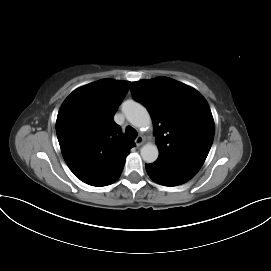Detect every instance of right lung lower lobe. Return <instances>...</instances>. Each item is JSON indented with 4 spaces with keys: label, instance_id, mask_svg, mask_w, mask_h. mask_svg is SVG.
Returning a JSON list of instances; mask_svg holds the SVG:
<instances>
[{
    "label": "right lung lower lobe",
    "instance_id": "right-lung-lower-lobe-1",
    "mask_svg": "<svg viewBox=\"0 0 271 271\" xmlns=\"http://www.w3.org/2000/svg\"><path fill=\"white\" fill-rule=\"evenodd\" d=\"M122 170H123V168L109 182H107L101 186L109 185V184H112L113 182H115L120 177Z\"/></svg>",
    "mask_w": 271,
    "mask_h": 271
}]
</instances>
